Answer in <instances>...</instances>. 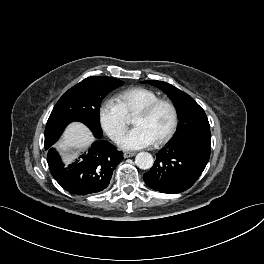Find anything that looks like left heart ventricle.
Wrapping results in <instances>:
<instances>
[{
  "mask_svg": "<svg viewBox=\"0 0 264 264\" xmlns=\"http://www.w3.org/2000/svg\"><path fill=\"white\" fill-rule=\"evenodd\" d=\"M170 121V110L167 106L161 105L148 117L135 116L133 124L144 128L156 141L167 132Z\"/></svg>",
  "mask_w": 264,
  "mask_h": 264,
  "instance_id": "b2bd125f",
  "label": "left heart ventricle"
}]
</instances>
